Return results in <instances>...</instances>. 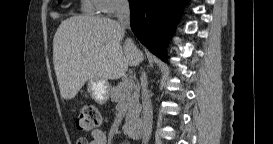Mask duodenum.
Returning <instances> with one entry per match:
<instances>
[{"mask_svg": "<svg viewBox=\"0 0 273 144\" xmlns=\"http://www.w3.org/2000/svg\"><path fill=\"white\" fill-rule=\"evenodd\" d=\"M125 132L129 135L132 139H138L142 136V127L140 124L131 122H126L124 125Z\"/></svg>", "mask_w": 273, "mask_h": 144, "instance_id": "1", "label": "duodenum"}]
</instances>
